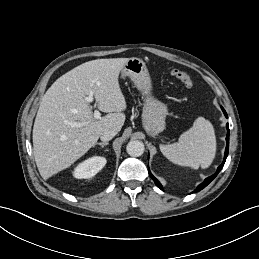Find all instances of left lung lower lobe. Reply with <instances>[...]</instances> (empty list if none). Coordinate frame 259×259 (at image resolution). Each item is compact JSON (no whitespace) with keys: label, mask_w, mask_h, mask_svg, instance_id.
Segmentation results:
<instances>
[{"label":"left lung lower lobe","mask_w":259,"mask_h":259,"mask_svg":"<svg viewBox=\"0 0 259 259\" xmlns=\"http://www.w3.org/2000/svg\"><path fill=\"white\" fill-rule=\"evenodd\" d=\"M221 109H222L224 115L227 117V113L225 112L224 108L221 107ZM226 127H227V138H226L227 145H226L224 160H223L222 164L218 167L217 172L215 174H213L212 176L206 178L203 183L198 185L195 192L201 191L203 188H205L217 176V174L221 171L222 167L224 166V163H225L227 155H228V150H229V127H228V124L226 125ZM149 174H150L151 178L154 180V182L156 183V185L161 190H163V187H162L161 183L151 174L150 171H149Z\"/></svg>","instance_id":"1"}]
</instances>
